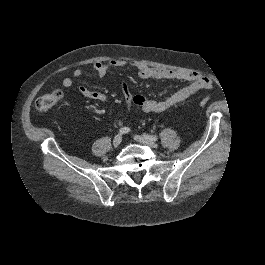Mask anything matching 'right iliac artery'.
I'll list each match as a JSON object with an SVG mask.
<instances>
[{
    "label": "right iliac artery",
    "instance_id": "1",
    "mask_svg": "<svg viewBox=\"0 0 265 265\" xmlns=\"http://www.w3.org/2000/svg\"><path fill=\"white\" fill-rule=\"evenodd\" d=\"M130 132V128L129 127H122L119 129V133L120 134H126Z\"/></svg>",
    "mask_w": 265,
    "mask_h": 265
}]
</instances>
